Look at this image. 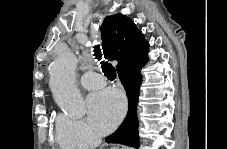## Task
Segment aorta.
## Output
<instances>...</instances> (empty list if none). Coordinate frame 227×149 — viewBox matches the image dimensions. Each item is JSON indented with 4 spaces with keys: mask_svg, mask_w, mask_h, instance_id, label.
<instances>
[{
    "mask_svg": "<svg viewBox=\"0 0 227 149\" xmlns=\"http://www.w3.org/2000/svg\"><path fill=\"white\" fill-rule=\"evenodd\" d=\"M77 60L72 52L59 56L50 66V87L58 106L69 116L85 114L83 97L75 83Z\"/></svg>",
    "mask_w": 227,
    "mask_h": 149,
    "instance_id": "aorta-1",
    "label": "aorta"
}]
</instances>
